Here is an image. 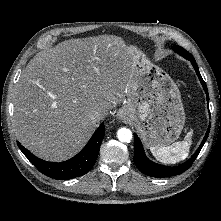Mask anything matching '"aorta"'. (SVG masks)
I'll return each mask as SVG.
<instances>
[{
	"label": "aorta",
	"mask_w": 221,
	"mask_h": 221,
	"mask_svg": "<svg viewBox=\"0 0 221 221\" xmlns=\"http://www.w3.org/2000/svg\"><path fill=\"white\" fill-rule=\"evenodd\" d=\"M117 137L121 142L129 143L132 140V132L128 128H120L117 132Z\"/></svg>",
	"instance_id": "aorta-1"
}]
</instances>
